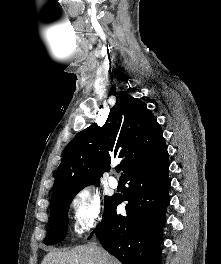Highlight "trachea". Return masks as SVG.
<instances>
[{
    "label": "trachea",
    "mask_w": 221,
    "mask_h": 264,
    "mask_svg": "<svg viewBox=\"0 0 221 264\" xmlns=\"http://www.w3.org/2000/svg\"><path fill=\"white\" fill-rule=\"evenodd\" d=\"M120 170H121V167H120V166H117V167H116V171H117V172H120Z\"/></svg>",
    "instance_id": "trachea-1"
}]
</instances>
